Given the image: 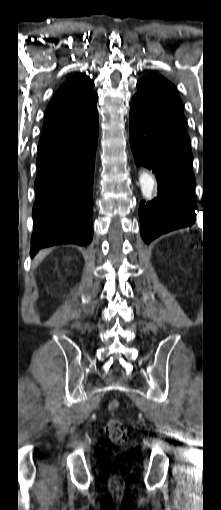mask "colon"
I'll use <instances>...</instances> for the list:
<instances>
[{"mask_svg":"<svg viewBox=\"0 0 221 510\" xmlns=\"http://www.w3.org/2000/svg\"><path fill=\"white\" fill-rule=\"evenodd\" d=\"M120 408V402L117 399H112L108 403V413L115 414ZM106 436L116 445H122L127 440V433L123 423L114 417H111L104 428Z\"/></svg>","mask_w":221,"mask_h":510,"instance_id":"1","label":"colon"}]
</instances>
